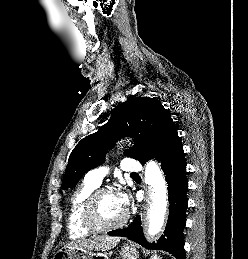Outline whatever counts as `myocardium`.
<instances>
[{"label": "myocardium", "mask_w": 248, "mask_h": 259, "mask_svg": "<svg viewBox=\"0 0 248 259\" xmlns=\"http://www.w3.org/2000/svg\"><path fill=\"white\" fill-rule=\"evenodd\" d=\"M106 192L116 193L115 188L111 186H103L96 188L84 202L81 219L83 224L93 232L108 231L124 226L129 218V212L126 210L124 216L114 223H103L99 220L97 214V205L100 196Z\"/></svg>", "instance_id": "f54148a6"}]
</instances>
